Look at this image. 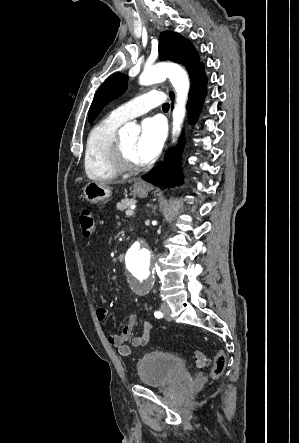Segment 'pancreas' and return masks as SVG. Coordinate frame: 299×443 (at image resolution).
<instances>
[{
	"label": "pancreas",
	"instance_id": "obj_1",
	"mask_svg": "<svg viewBox=\"0 0 299 443\" xmlns=\"http://www.w3.org/2000/svg\"><path fill=\"white\" fill-rule=\"evenodd\" d=\"M136 203L135 199H123L117 204V210L124 211Z\"/></svg>",
	"mask_w": 299,
	"mask_h": 443
}]
</instances>
